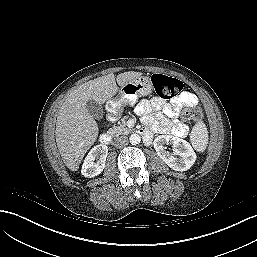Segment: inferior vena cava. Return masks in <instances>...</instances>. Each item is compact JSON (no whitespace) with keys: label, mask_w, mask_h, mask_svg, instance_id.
<instances>
[{"label":"inferior vena cava","mask_w":257,"mask_h":257,"mask_svg":"<svg viewBox=\"0 0 257 257\" xmlns=\"http://www.w3.org/2000/svg\"><path fill=\"white\" fill-rule=\"evenodd\" d=\"M127 144H128V138L126 136H120L114 140V146L117 148H122Z\"/></svg>","instance_id":"obj_1"}]
</instances>
